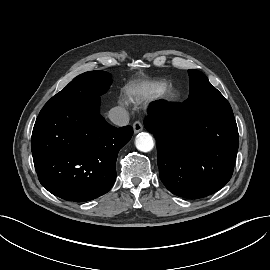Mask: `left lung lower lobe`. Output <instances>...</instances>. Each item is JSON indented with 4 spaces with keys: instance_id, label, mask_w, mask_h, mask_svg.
<instances>
[{
    "instance_id": "0a47b994",
    "label": "left lung lower lobe",
    "mask_w": 270,
    "mask_h": 270,
    "mask_svg": "<svg viewBox=\"0 0 270 270\" xmlns=\"http://www.w3.org/2000/svg\"><path fill=\"white\" fill-rule=\"evenodd\" d=\"M195 99L151 112L144 121L157 143L159 176L173 194L196 199L230 180L238 150L233 113L201 114Z\"/></svg>"
}]
</instances>
